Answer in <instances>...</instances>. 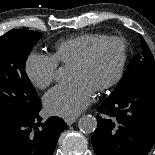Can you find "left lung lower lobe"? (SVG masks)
Here are the masks:
<instances>
[{
    "label": "left lung lower lobe",
    "mask_w": 155,
    "mask_h": 155,
    "mask_svg": "<svg viewBox=\"0 0 155 155\" xmlns=\"http://www.w3.org/2000/svg\"><path fill=\"white\" fill-rule=\"evenodd\" d=\"M97 155H147L155 142V79L111 94L98 108Z\"/></svg>",
    "instance_id": "1"
}]
</instances>
